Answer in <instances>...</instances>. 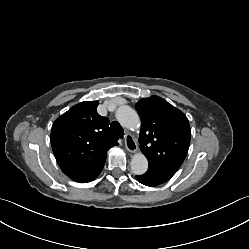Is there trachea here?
<instances>
[{
    "label": "trachea",
    "instance_id": "1",
    "mask_svg": "<svg viewBox=\"0 0 249 249\" xmlns=\"http://www.w3.org/2000/svg\"><path fill=\"white\" fill-rule=\"evenodd\" d=\"M110 131L113 134H115L118 137H120V138L124 137V130H123V128L121 127V125L117 121H114V122L111 123V125H110Z\"/></svg>",
    "mask_w": 249,
    "mask_h": 249
}]
</instances>
